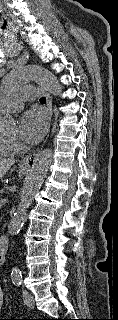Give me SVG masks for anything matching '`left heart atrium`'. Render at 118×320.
<instances>
[{
    "mask_svg": "<svg viewBox=\"0 0 118 320\" xmlns=\"http://www.w3.org/2000/svg\"><path fill=\"white\" fill-rule=\"evenodd\" d=\"M48 126L45 112L39 108L26 111L20 120V136L27 144H36L44 136Z\"/></svg>",
    "mask_w": 118,
    "mask_h": 320,
    "instance_id": "obj_1",
    "label": "left heart atrium"
}]
</instances>
